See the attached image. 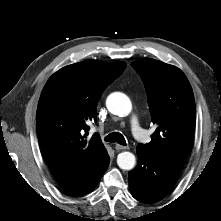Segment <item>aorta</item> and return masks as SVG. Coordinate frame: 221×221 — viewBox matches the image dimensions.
I'll return each instance as SVG.
<instances>
[{"label":"aorta","mask_w":221,"mask_h":221,"mask_svg":"<svg viewBox=\"0 0 221 221\" xmlns=\"http://www.w3.org/2000/svg\"><path fill=\"white\" fill-rule=\"evenodd\" d=\"M109 112L118 116H127L132 110L130 99L123 93L110 94L106 100ZM136 163L135 156L130 152H122L117 156V164L123 170H131Z\"/></svg>","instance_id":"1"}]
</instances>
